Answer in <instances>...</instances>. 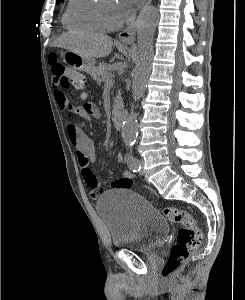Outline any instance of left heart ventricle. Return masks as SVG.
<instances>
[{"label": "left heart ventricle", "mask_w": 245, "mask_h": 300, "mask_svg": "<svg viewBox=\"0 0 245 300\" xmlns=\"http://www.w3.org/2000/svg\"><path fill=\"white\" fill-rule=\"evenodd\" d=\"M103 6L110 20L119 21L121 16L118 11L117 3L114 0H104Z\"/></svg>", "instance_id": "b2bd125f"}]
</instances>
